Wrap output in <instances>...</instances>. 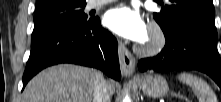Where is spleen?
<instances>
[{
	"instance_id": "1",
	"label": "spleen",
	"mask_w": 221,
	"mask_h": 102,
	"mask_svg": "<svg viewBox=\"0 0 221 102\" xmlns=\"http://www.w3.org/2000/svg\"><path fill=\"white\" fill-rule=\"evenodd\" d=\"M183 84L192 87L199 102H217L216 96L210 86L201 78L193 74L183 72L177 76Z\"/></svg>"
}]
</instances>
